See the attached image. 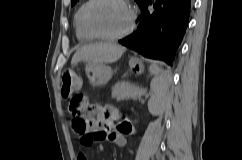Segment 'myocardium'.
<instances>
[{
    "instance_id": "obj_1",
    "label": "myocardium",
    "mask_w": 242,
    "mask_h": 160,
    "mask_svg": "<svg viewBox=\"0 0 242 160\" xmlns=\"http://www.w3.org/2000/svg\"><path fill=\"white\" fill-rule=\"evenodd\" d=\"M99 1L100 0H90L84 10L83 23H84V26L87 29V31L95 38L107 40V41H117V40L123 39L127 35H129L134 27L135 20H136V10L133 7V5L130 3V1L129 0H120V2H122L129 10L130 18H129V22H128V25L126 26V28L121 33L115 34V35H107V34L100 33L91 24V21H90L91 10L94 7V5L96 3H98Z\"/></svg>"
}]
</instances>
